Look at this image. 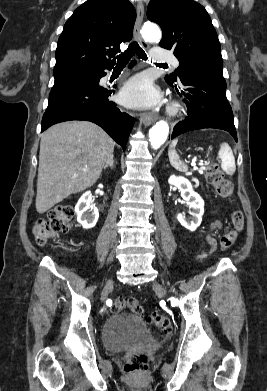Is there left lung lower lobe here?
I'll return each mask as SVG.
<instances>
[{
    "mask_svg": "<svg viewBox=\"0 0 267 391\" xmlns=\"http://www.w3.org/2000/svg\"><path fill=\"white\" fill-rule=\"evenodd\" d=\"M174 85L186 97L188 117L179 122L171 139L190 130L218 128L228 131L235 141L237 133L233 113L226 99V82L223 76L207 72H192L181 76L179 84ZM179 93V90L177 89Z\"/></svg>",
    "mask_w": 267,
    "mask_h": 391,
    "instance_id": "0a47b994",
    "label": "left lung lower lobe"
}]
</instances>
